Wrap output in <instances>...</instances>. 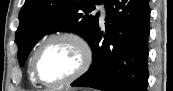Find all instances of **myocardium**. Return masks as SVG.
I'll return each mask as SVG.
<instances>
[{
	"label": "myocardium",
	"instance_id": "obj_1",
	"mask_svg": "<svg viewBox=\"0 0 173 91\" xmlns=\"http://www.w3.org/2000/svg\"><path fill=\"white\" fill-rule=\"evenodd\" d=\"M57 40L70 41L78 48L80 53V64L78 68L65 79L58 82H45L40 78L38 74V61L44 48L47 45H49L51 42ZM92 60H93V50L90 43L84 36L76 32H70V31L60 32L46 38L36 49L31 63L32 75L34 80L43 86L50 88L62 87L75 81L76 79L81 77L84 73H86L92 64Z\"/></svg>",
	"mask_w": 173,
	"mask_h": 91
}]
</instances>
